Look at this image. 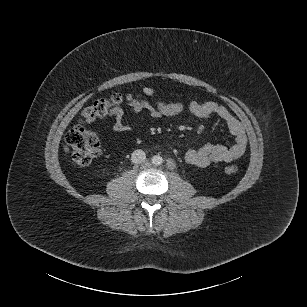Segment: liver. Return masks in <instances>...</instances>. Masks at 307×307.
<instances>
[{
  "label": "liver",
  "mask_w": 307,
  "mask_h": 307,
  "mask_svg": "<svg viewBox=\"0 0 307 307\" xmlns=\"http://www.w3.org/2000/svg\"><path fill=\"white\" fill-rule=\"evenodd\" d=\"M64 151H65L66 153L69 152L68 146H64Z\"/></svg>",
  "instance_id": "obj_1"
}]
</instances>
